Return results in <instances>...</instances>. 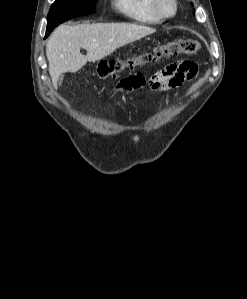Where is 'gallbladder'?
I'll list each match as a JSON object with an SVG mask.
<instances>
[{"instance_id":"obj_1","label":"gallbladder","mask_w":247,"mask_h":299,"mask_svg":"<svg viewBox=\"0 0 247 299\" xmlns=\"http://www.w3.org/2000/svg\"><path fill=\"white\" fill-rule=\"evenodd\" d=\"M63 79H64V75H61L59 78H58V85H62V82H63Z\"/></svg>"}]
</instances>
